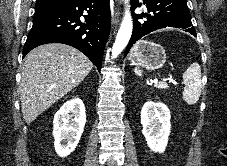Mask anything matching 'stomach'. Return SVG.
<instances>
[{"label": "stomach", "instance_id": "1", "mask_svg": "<svg viewBox=\"0 0 227 166\" xmlns=\"http://www.w3.org/2000/svg\"><path fill=\"white\" fill-rule=\"evenodd\" d=\"M129 58L143 68L156 70L166 62L165 49L156 43L141 40L133 47Z\"/></svg>", "mask_w": 227, "mask_h": 166}]
</instances>
